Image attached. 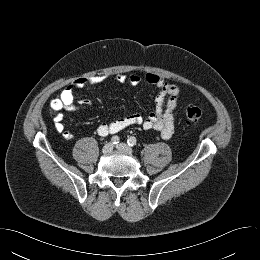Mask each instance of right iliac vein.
Returning <instances> with one entry per match:
<instances>
[{
  "label": "right iliac vein",
  "mask_w": 260,
  "mask_h": 260,
  "mask_svg": "<svg viewBox=\"0 0 260 260\" xmlns=\"http://www.w3.org/2000/svg\"><path fill=\"white\" fill-rule=\"evenodd\" d=\"M112 150H113V144L112 143H107L102 148V152L104 154L110 153Z\"/></svg>",
  "instance_id": "obj_1"
}]
</instances>
